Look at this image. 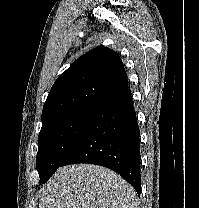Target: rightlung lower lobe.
Here are the masks:
<instances>
[{
	"label": "right lung lower lobe",
	"instance_id": "98d812e1",
	"mask_svg": "<svg viewBox=\"0 0 199 208\" xmlns=\"http://www.w3.org/2000/svg\"><path fill=\"white\" fill-rule=\"evenodd\" d=\"M140 131L130 90L104 103L61 166L92 163L110 168L140 196Z\"/></svg>",
	"mask_w": 199,
	"mask_h": 208
}]
</instances>
